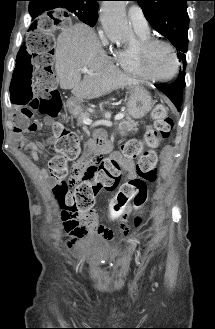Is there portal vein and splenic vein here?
<instances>
[{
  "label": "portal vein and splenic vein",
  "instance_id": "18ae733b",
  "mask_svg": "<svg viewBox=\"0 0 215 329\" xmlns=\"http://www.w3.org/2000/svg\"><path fill=\"white\" fill-rule=\"evenodd\" d=\"M81 72H82V73H85V74H86V73H90L87 67H82V68H81ZM123 118H124V115L121 114V113H119V114H117V115L115 116V120H121V119H123ZM83 123H84L85 125H91V124H92V120L89 119V118H84V119H83Z\"/></svg>",
  "mask_w": 215,
  "mask_h": 329
}]
</instances>
